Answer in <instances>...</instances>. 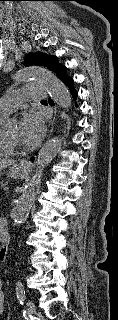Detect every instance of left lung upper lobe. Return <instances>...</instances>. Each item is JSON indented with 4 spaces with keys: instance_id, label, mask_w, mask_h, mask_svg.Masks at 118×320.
Here are the masks:
<instances>
[{
    "instance_id": "obj_1",
    "label": "left lung upper lobe",
    "mask_w": 118,
    "mask_h": 320,
    "mask_svg": "<svg viewBox=\"0 0 118 320\" xmlns=\"http://www.w3.org/2000/svg\"><path fill=\"white\" fill-rule=\"evenodd\" d=\"M24 65L44 66L52 71L59 72L61 76H63L66 73V67L57 63L55 56H48L41 52L27 54L25 57Z\"/></svg>"
}]
</instances>
